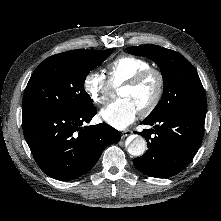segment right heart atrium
I'll return each mask as SVG.
<instances>
[{"mask_svg": "<svg viewBox=\"0 0 221 221\" xmlns=\"http://www.w3.org/2000/svg\"><path fill=\"white\" fill-rule=\"evenodd\" d=\"M83 90L94 104L106 101L112 85L106 76L99 71H89L83 79Z\"/></svg>", "mask_w": 221, "mask_h": 221, "instance_id": "right-heart-atrium-1", "label": "right heart atrium"}]
</instances>
